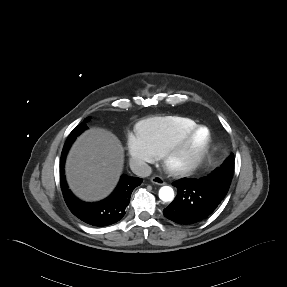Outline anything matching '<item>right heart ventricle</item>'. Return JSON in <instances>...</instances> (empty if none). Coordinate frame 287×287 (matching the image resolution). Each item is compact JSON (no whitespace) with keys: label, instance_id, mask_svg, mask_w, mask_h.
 I'll return each mask as SVG.
<instances>
[{"label":"right heart ventricle","instance_id":"1","mask_svg":"<svg viewBox=\"0 0 287 287\" xmlns=\"http://www.w3.org/2000/svg\"><path fill=\"white\" fill-rule=\"evenodd\" d=\"M195 126L194 120L184 116H153L139 123L138 133L148 139L158 156H162L176 140Z\"/></svg>","mask_w":287,"mask_h":287}]
</instances>
